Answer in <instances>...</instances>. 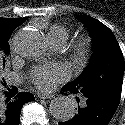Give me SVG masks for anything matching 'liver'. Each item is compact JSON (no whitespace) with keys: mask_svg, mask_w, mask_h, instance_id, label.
<instances>
[{"mask_svg":"<svg viewBox=\"0 0 125 125\" xmlns=\"http://www.w3.org/2000/svg\"><path fill=\"white\" fill-rule=\"evenodd\" d=\"M0 59H1V55H0ZM2 69V60H0V71Z\"/></svg>","mask_w":125,"mask_h":125,"instance_id":"obj_1","label":"liver"}]
</instances>
